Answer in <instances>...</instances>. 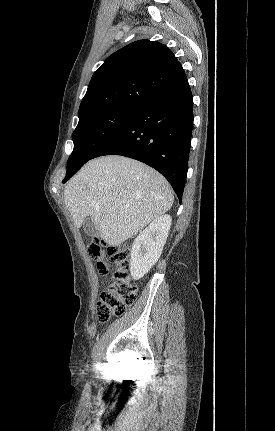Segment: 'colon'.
<instances>
[{"mask_svg":"<svg viewBox=\"0 0 275 431\" xmlns=\"http://www.w3.org/2000/svg\"><path fill=\"white\" fill-rule=\"evenodd\" d=\"M101 275L113 272L112 283L102 292L96 307V318L106 322L113 316L124 314L137 299V287L129 275L130 249L126 246L106 248V244L95 238L89 246Z\"/></svg>","mask_w":275,"mask_h":431,"instance_id":"1","label":"colon"}]
</instances>
